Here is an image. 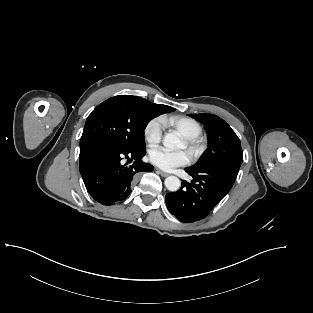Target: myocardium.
I'll list each match as a JSON object with an SVG mask.
<instances>
[{
  "label": "myocardium",
  "instance_id": "obj_1",
  "mask_svg": "<svg viewBox=\"0 0 313 313\" xmlns=\"http://www.w3.org/2000/svg\"><path fill=\"white\" fill-rule=\"evenodd\" d=\"M185 146L194 160L200 158L207 147L205 140L201 137L185 138Z\"/></svg>",
  "mask_w": 313,
  "mask_h": 313
}]
</instances>
